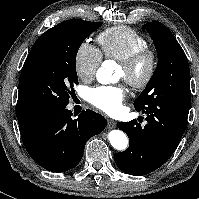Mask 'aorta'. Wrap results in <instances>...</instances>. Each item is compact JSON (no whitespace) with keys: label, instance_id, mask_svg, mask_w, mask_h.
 I'll return each mask as SVG.
<instances>
[{"label":"aorta","instance_id":"762f6f07","mask_svg":"<svg viewBox=\"0 0 199 199\" xmlns=\"http://www.w3.org/2000/svg\"><path fill=\"white\" fill-rule=\"evenodd\" d=\"M96 77L102 84H108L113 81L112 73L106 66L98 69ZM108 139L117 150H125L127 148L128 138L121 130H112L108 135Z\"/></svg>","mask_w":199,"mask_h":199}]
</instances>
